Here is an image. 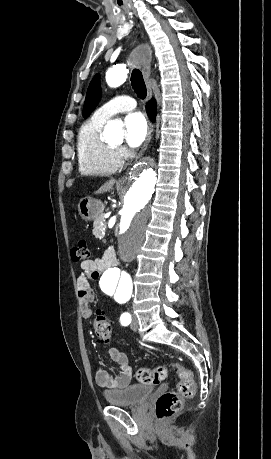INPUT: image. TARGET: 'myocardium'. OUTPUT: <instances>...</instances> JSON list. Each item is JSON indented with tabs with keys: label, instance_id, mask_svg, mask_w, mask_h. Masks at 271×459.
<instances>
[{
	"label": "myocardium",
	"instance_id": "1",
	"mask_svg": "<svg viewBox=\"0 0 271 459\" xmlns=\"http://www.w3.org/2000/svg\"><path fill=\"white\" fill-rule=\"evenodd\" d=\"M107 144H108L111 148H113V149H115V150H117L118 147H119V145H115V144H113V143H111V142H107Z\"/></svg>",
	"mask_w": 271,
	"mask_h": 459
}]
</instances>
